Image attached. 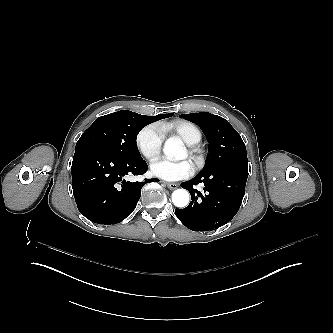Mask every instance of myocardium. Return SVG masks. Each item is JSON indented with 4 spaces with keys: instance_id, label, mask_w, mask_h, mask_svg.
<instances>
[{
    "instance_id": "obj_1",
    "label": "myocardium",
    "mask_w": 333,
    "mask_h": 333,
    "mask_svg": "<svg viewBox=\"0 0 333 333\" xmlns=\"http://www.w3.org/2000/svg\"><path fill=\"white\" fill-rule=\"evenodd\" d=\"M188 157L197 165L201 166L204 162V157L202 154V149L199 145H189L188 146Z\"/></svg>"
}]
</instances>
